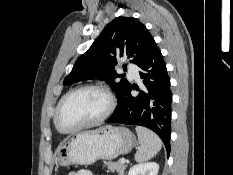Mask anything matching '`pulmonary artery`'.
Segmentation results:
<instances>
[{"label":"pulmonary artery","mask_w":233,"mask_h":175,"mask_svg":"<svg viewBox=\"0 0 233 175\" xmlns=\"http://www.w3.org/2000/svg\"><path fill=\"white\" fill-rule=\"evenodd\" d=\"M128 71H129V76L132 79L138 80L139 79V73L136 67H134L133 65H129L128 66Z\"/></svg>","instance_id":"e3ab8cb5"}]
</instances>
